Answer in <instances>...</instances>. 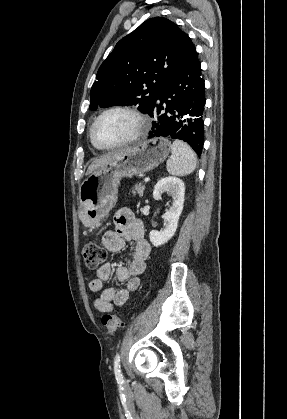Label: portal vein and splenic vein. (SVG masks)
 <instances>
[{
  "instance_id": "18ae733b",
  "label": "portal vein and splenic vein",
  "mask_w": 287,
  "mask_h": 419,
  "mask_svg": "<svg viewBox=\"0 0 287 419\" xmlns=\"http://www.w3.org/2000/svg\"><path fill=\"white\" fill-rule=\"evenodd\" d=\"M149 180H150V178H145L144 182L147 183V182H149Z\"/></svg>"
}]
</instances>
